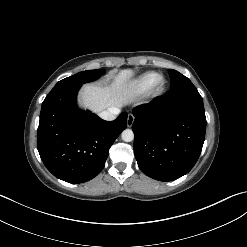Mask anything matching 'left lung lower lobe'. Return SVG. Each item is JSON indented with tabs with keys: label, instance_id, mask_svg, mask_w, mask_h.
<instances>
[{
	"label": "left lung lower lobe",
	"instance_id": "1",
	"mask_svg": "<svg viewBox=\"0 0 247 247\" xmlns=\"http://www.w3.org/2000/svg\"><path fill=\"white\" fill-rule=\"evenodd\" d=\"M134 154L141 171L159 181L188 173L205 139L206 116L197 89L168 91L133 110Z\"/></svg>",
	"mask_w": 247,
	"mask_h": 247
}]
</instances>
